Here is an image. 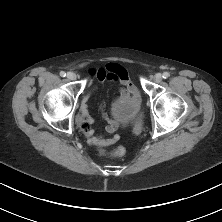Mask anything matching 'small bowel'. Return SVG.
Returning a JSON list of instances; mask_svg holds the SVG:
<instances>
[{
	"label": "small bowel",
	"mask_w": 222,
	"mask_h": 222,
	"mask_svg": "<svg viewBox=\"0 0 222 222\" xmlns=\"http://www.w3.org/2000/svg\"><path fill=\"white\" fill-rule=\"evenodd\" d=\"M90 78L97 79L100 82L104 81H118L123 86L121 90L120 96L116 101V107L122 103H124L130 96L133 98L138 97V90L136 86L130 81L127 72L117 66V65H109L107 68H94L90 70ZM103 113L104 117L107 120V124L105 126V130L112 134L110 138H104L102 136L96 135L94 130L91 128V125L94 123V120L89 115L88 109V99L85 98L82 102L81 106V123L87 122V125L83 126V130L86 132L89 138V143L94 146H106L111 143H115L118 141L119 136L116 134L119 125L118 122L114 119L108 117L105 112V106L103 105Z\"/></svg>",
	"instance_id": "1"
}]
</instances>
